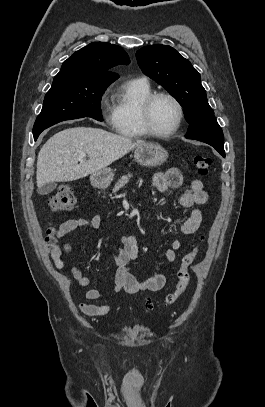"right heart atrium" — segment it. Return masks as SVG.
I'll return each mask as SVG.
<instances>
[{
	"mask_svg": "<svg viewBox=\"0 0 265 407\" xmlns=\"http://www.w3.org/2000/svg\"><path fill=\"white\" fill-rule=\"evenodd\" d=\"M100 107L103 112L105 121L109 124L113 122V112L111 111L110 102H109V91L105 90L101 93L99 99Z\"/></svg>",
	"mask_w": 265,
	"mask_h": 407,
	"instance_id": "1",
	"label": "right heart atrium"
}]
</instances>
